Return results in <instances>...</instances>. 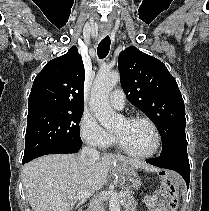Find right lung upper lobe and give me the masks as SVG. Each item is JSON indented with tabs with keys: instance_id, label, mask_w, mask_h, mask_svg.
I'll return each mask as SVG.
<instances>
[{
	"instance_id": "cb5924a9",
	"label": "right lung upper lobe",
	"mask_w": 209,
	"mask_h": 211,
	"mask_svg": "<svg viewBox=\"0 0 209 211\" xmlns=\"http://www.w3.org/2000/svg\"><path fill=\"white\" fill-rule=\"evenodd\" d=\"M84 65L76 46L49 61L36 76L28 100V114L39 111L84 110Z\"/></svg>"
}]
</instances>
